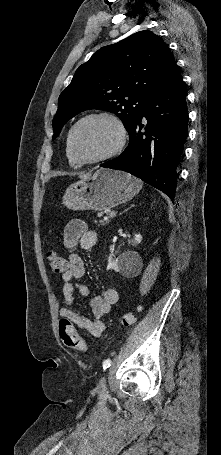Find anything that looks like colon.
<instances>
[{
    "label": "colon",
    "instance_id": "5ec220e1",
    "mask_svg": "<svg viewBox=\"0 0 221 455\" xmlns=\"http://www.w3.org/2000/svg\"><path fill=\"white\" fill-rule=\"evenodd\" d=\"M47 259L50 268L55 273H64L68 269V261L54 251L47 253ZM136 320V315L132 312L126 313L121 318V324L124 326L132 325ZM59 335L63 343L75 350L86 351L87 344L85 340L76 332L73 324L67 318H62L59 322Z\"/></svg>",
    "mask_w": 221,
    "mask_h": 455
}]
</instances>
